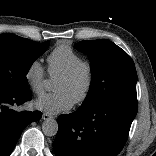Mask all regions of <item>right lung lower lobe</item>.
Listing matches in <instances>:
<instances>
[{
  "label": "right lung lower lobe",
  "instance_id": "obj_1",
  "mask_svg": "<svg viewBox=\"0 0 156 156\" xmlns=\"http://www.w3.org/2000/svg\"><path fill=\"white\" fill-rule=\"evenodd\" d=\"M29 90L14 91L0 88V156H9L22 130L31 122L41 118L42 113L16 112L14 105L30 100Z\"/></svg>",
  "mask_w": 156,
  "mask_h": 156
}]
</instances>
